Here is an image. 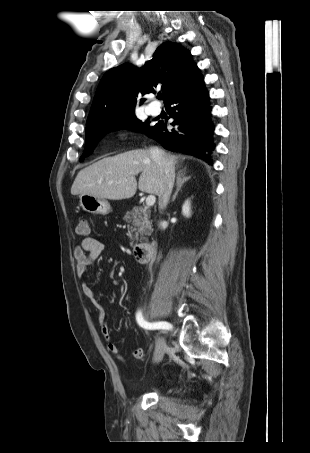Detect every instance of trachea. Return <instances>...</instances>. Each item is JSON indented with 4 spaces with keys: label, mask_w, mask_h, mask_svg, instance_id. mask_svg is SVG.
Segmentation results:
<instances>
[{
    "label": "trachea",
    "mask_w": 310,
    "mask_h": 453,
    "mask_svg": "<svg viewBox=\"0 0 310 453\" xmlns=\"http://www.w3.org/2000/svg\"><path fill=\"white\" fill-rule=\"evenodd\" d=\"M157 98H158V99H162V95L159 94V95L157 96Z\"/></svg>",
    "instance_id": "1"
}]
</instances>
